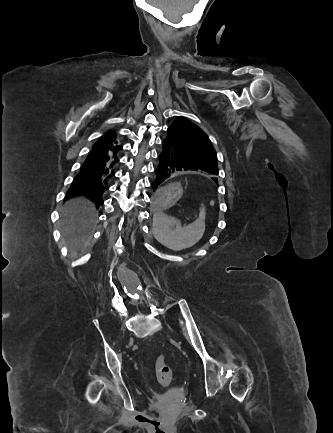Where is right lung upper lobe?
<instances>
[{"mask_svg": "<svg viewBox=\"0 0 333 433\" xmlns=\"http://www.w3.org/2000/svg\"><path fill=\"white\" fill-rule=\"evenodd\" d=\"M116 139L117 137L115 132H108L105 136L100 138L98 141L106 145L112 146L118 144V141Z\"/></svg>", "mask_w": 333, "mask_h": 433, "instance_id": "obj_1", "label": "right lung upper lobe"}]
</instances>
